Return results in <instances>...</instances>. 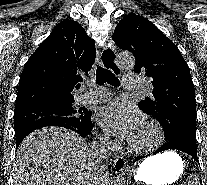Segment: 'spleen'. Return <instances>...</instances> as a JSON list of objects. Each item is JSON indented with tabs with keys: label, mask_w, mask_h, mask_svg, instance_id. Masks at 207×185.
Returning a JSON list of instances; mask_svg holds the SVG:
<instances>
[{
	"label": "spleen",
	"mask_w": 207,
	"mask_h": 185,
	"mask_svg": "<svg viewBox=\"0 0 207 185\" xmlns=\"http://www.w3.org/2000/svg\"><path fill=\"white\" fill-rule=\"evenodd\" d=\"M196 183H198V178H196V174H191L189 182H185V185H196Z\"/></svg>",
	"instance_id": "3e777b00"
}]
</instances>
